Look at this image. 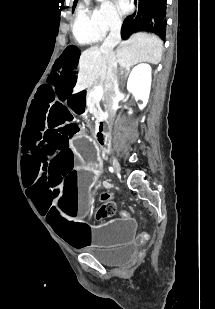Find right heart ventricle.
I'll use <instances>...</instances> for the list:
<instances>
[{
	"label": "right heart ventricle",
	"instance_id": "1",
	"mask_svg": "<svg viewBox=\"0 0 215 309\" xmlns=\"http://www.w3.org/2000/svg\"><path fill=\"white\" fill-rule=\"evenodd\" d=\"M73 34L74 39L79 44L86 43L98 37V34L103 33L102 27H96V19H93L92 14H79V19L73 20ZM115 44V43H110Z\"/></svg>",
	"mask_w": 215,
	"mask_h": 309
}]
</instances>
